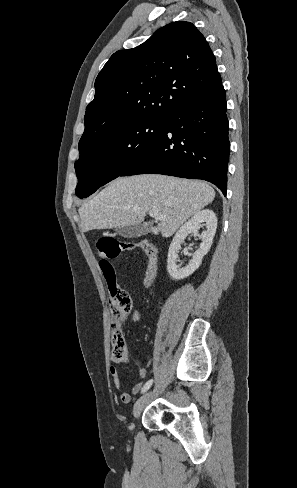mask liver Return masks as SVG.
<instances>
[{
    "mask_svg": "<svg viewBox=\"0 0 297 488\" xmlns=\"http://www.w3.org/2000/svg\"><path fill=\"white\" fill-rule=\"evenodd\" d=\"M214 197L213 188L202 181L155 174L119 177L79 208L80 226L88 232L136 225L156 210L165 218L152 233L170 237Z\"/></svg>",
    "mask_w": 297,
    "mask_h": 488,
    "instance_id": "obj_1",
    "label": "liver"
}]
</instances>
